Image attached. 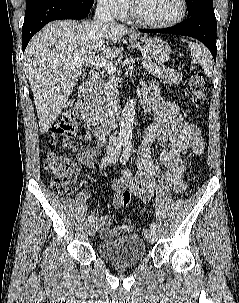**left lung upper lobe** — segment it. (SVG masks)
Wrapping results in <instances>:
<instances>
[{
    "label": "left lung upper lobe",
    "mask_w": 239,
    "mask_h": 303,
    "mask_svg": "<svg viewBox=\"0 0 239 303\" xmlns=\"http://www.w3.org/2000/svg\"><path fill=\"white\" fill-rule=\"evenodd\" d=\"M188 17L199 11L213 10V0H186Z\"/></svg>",
    "instance_id": "5c2ea615"
}]
</instances>
